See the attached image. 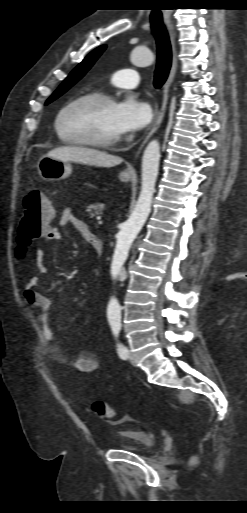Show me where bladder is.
<instances>
[{
  "label": "bladder",
  "mask_w": 247,
  "mask_h": 513,
  "mask_svg": "<svg viewBox=\"0 0 247 513\" xmlns=\"http://www.w3.org/2000/svg\"><path fill=\"white\" fill-rule=\"evenodd\" d=\"M157 446V440L141 430L126 429L118 431L109 450H125L148 453Z\"/></svg>",
  "instance_id": "obj_1"
}]
</instances>
